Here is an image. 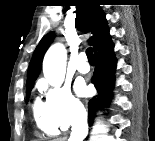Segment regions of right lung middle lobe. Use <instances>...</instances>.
Returning <instances> with one entry per match:
<instances>
[{"mask_svg": "<svg viewBox=\"0 0 155 141\" xmlns=\"http://www.w3.org/2000/svg\"><path fill=\"white\" fill-rule=\"evenodd\" d=\"M27 87V90H26V97L29 98L30 97V92H31V89H32V85H28L26 86Z\"/></svg>", "mask_w": 155, "mask_h": 141, "instance_id": "obj_1", "label": "right lung middle lobe"}]
</instances>
